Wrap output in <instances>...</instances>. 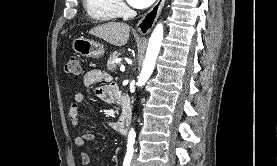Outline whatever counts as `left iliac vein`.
I'll return each mask as SVG.
<instances>
[{"instance_id":"4c4485c4","label":"left iliac vein","mask_w":277,"mask_h":166,"mask_svg":"<svg viewBox=\"0 0 277 166\" xmlns=\"http://www.w3.org/2000/svg\"><path fill=\"white\" fill-rule=\"evenodd\" d=\"M131 166H136V164H135V162H134V161H132V164H131Z\"/></svg>"}]
</instances>
